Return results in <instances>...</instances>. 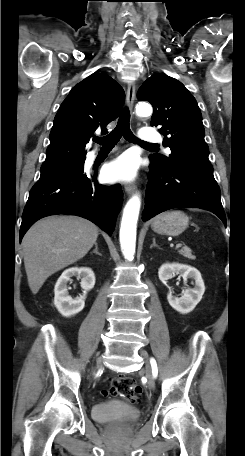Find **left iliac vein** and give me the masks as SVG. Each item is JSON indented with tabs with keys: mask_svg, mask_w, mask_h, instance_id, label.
Returning a JSON list of instances; mask_svg holds the SVG:
<instances>
[{
	"mask_svg": "<svg viewBox=\"0 0 245 456\" xmlns=\"http://www.w3.org/2000/svg\"><path fill=\"white\" fill-rule=\"evenodd\" d=\"M140 355H141L144 359L148 360V353H147V351L141 350V351H140ZM146 376H147V379H148V387H149L150 389H153V388L155 387V381H154L153 374H152V372H151V368H150L149 366H147V368H146Z\"/></svg>",
	"mask_w": 245,
	"mask_h": 456,
	"instance_id": "obj_1",
	"label": "left iliac vein"
}]
</instances>
